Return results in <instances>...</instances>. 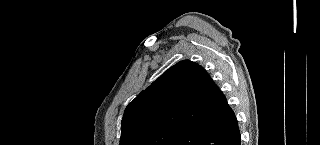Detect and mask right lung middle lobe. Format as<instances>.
I'll return each mask as SVG.
<instances>
[{"label":"right lung middle lobe","instance_id":"1","mask_svg":"<svg viewBox=\"0 0 320 145\" xmlns=\"http://www.w3.org/2000/svg\"><path fill=\"white\" fill-rule=\"evenodd\" d=\"M181 130H163L151 133L135 142L134 145H167Z\"/></svg>","mask_w":320,"mask_h":145}]
</instances>
